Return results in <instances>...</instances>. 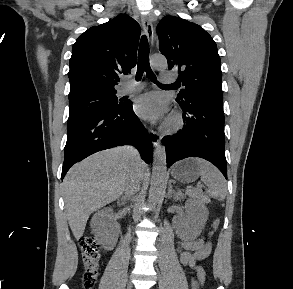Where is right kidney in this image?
<instances>
[{
	"mask_svg": "<svg viewBox=\"0 0 293 289\" xmlns=\"http://www.w3.org/2000/svg\"><path fill=\"white\" fill-rule=\"evenodd\" d=\"M111 220V212L108 208L102 209L94 214L91 220V228L97 237H103L108 232V225Z\"/></svg>",
	"mask_w": 293,
	"mask_h": 289,
	"instance_id": "right-kidney-1",
	"label": "right kidney"
}]
</instances>
